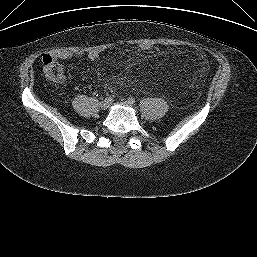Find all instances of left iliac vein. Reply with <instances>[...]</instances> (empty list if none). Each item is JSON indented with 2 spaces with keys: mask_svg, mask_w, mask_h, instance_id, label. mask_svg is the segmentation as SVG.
I'll return each mask as SVG.
<instances>
[{
  "mask_svg": "<svg viewBox=\"0 0 257 257\" xmlns=\"http://www.w3.org/2000/svg\"><path fill=\"white\" fill-rule=\"evenodd\" d=\"M121 104L125 106H132V104L129 101H122Z\"/></svg>",
  "mask_w": 257,
  "mask_h": 257,
  "instance_id": "obj_1",
  "label": "left iliac vein"
}]
</instances>
